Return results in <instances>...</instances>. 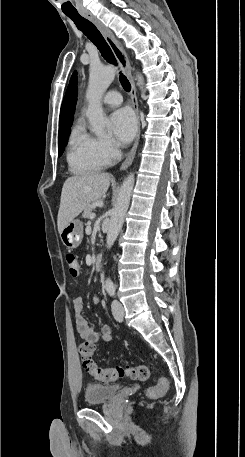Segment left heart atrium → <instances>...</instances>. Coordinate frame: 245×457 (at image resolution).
Masks as SVG:
<instances>
[{
    "label": "left heart atrium",
    "mask_w": 245,
    "mask_h": 457,
    "mask_svg": "<svg viewBox=\"0 0 245 457\" xmlns=\"http://www.w3.org/2000/svg\"><path fill=\"white\" fill-rule=\"evenodd\" d=\"M110 120L118 141L123 144L131 141L137 128L133 112L126 108L119 109L111 115Z\"/></svg>",
    "instance_id": "obj_1"
}]
</instances>
